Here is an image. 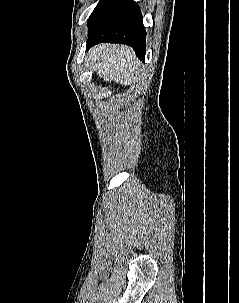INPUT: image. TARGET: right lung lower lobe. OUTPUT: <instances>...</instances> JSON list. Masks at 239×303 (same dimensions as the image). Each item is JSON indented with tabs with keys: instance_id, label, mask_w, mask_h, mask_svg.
<instances>
[{
	"instance_id": "1",
	"label": "right lung lower lobe",
	"mask_w": 239,
	"mask_h": 303,
	"mask_svg": "<svg viewBox=\"0 0 239 303\" xmlns=\"http://www.w3.org/2000/svg\"><path fill=\"white\" fill-rule=\"evenodd\" d=\"M87 50L101 42L130 45L144 61L146 32L142 14L133 0H110L88 26Z\"/></svg>"
}]
</instances>
